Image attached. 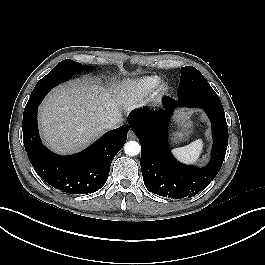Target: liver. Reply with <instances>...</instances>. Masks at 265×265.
<instances>
[{
  "instance_id": "1",
  "label": "liver",
  "mask_w": 265,
  "mask_h": 265,
  "mask_svg": "<svg viewBox=\"0 0 265 265\" xmlns=\"http://www.w3.org/2000/svg\"><path fill=\"white\" fill-rule=\"evenodd\" d=\"M119 89L74 80L55 88L39 107L44 143L54 152H78L104 132V124L121 117Z\"/></svg>"
}]
</instances>
